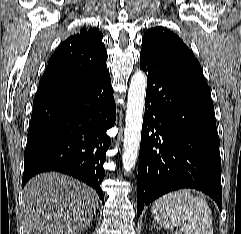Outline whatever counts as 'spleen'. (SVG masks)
Listing matches in <instances>:
<instances>
[{
	"label": "spleen",
	"mask_w": 241,
	"mask_h": 234,
	"mask_svg": "<svg viewBox=\"0 0 241 234\" xmlns=\"http://www.w3.org/2000/svg\"><path fill=\"white\" fill-rule=\"evenodd\" d=\"M153 214L155 220L169 230L180 226L183 234H213L212 214L207 202L200 196L193 197L188 189L173 191L157 199Z\"/></svg>",
	"instance_id": "1"
}]
</instances>
